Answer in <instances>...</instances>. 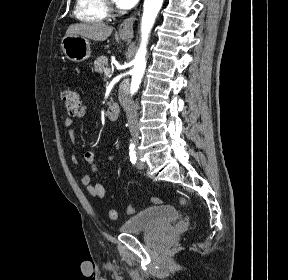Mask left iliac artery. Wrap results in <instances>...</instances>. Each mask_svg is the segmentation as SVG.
<instances>
[{"label":"left iliac artery","instance_id":"1","mask_svg":"<svg viewBox=\"0 0 288 280\" xmlns=\"http://www.w3.org/2000/svg\"><path fill=\"white\" fill-rule=\"evenodd\" d=\"M129 157L132 164L136 163L137 157H136V151H135V145L133 143L129 146Z\"/></svg>","mask_w":288,"mask_h":280}]
</instances>
